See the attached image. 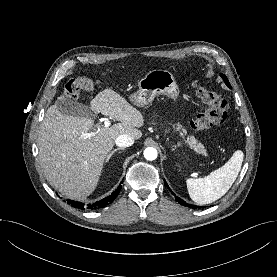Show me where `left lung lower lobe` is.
Masks as SVG:
<instances>
[{"mask_svg":"<svg viewBox=\"0 0 277 277\" xmlns=\"http://www.w3.org/2000/svg\"><path fill=\"white\" fill-rule=\"evenodd\" d=\"M165 182V185L168 187L166 181L164 180ZM171 191V190H170ZM175 200L181 204V205H184V206H187V207H190V208H193V209H196V208H200L199 206H195V205H191V204H187L185 203V201H183L182 199H180L179 197L175 196Z\"/></svg>","mask_w":277,"mask_h":277,"instance_id":"obj_1","label":"left lung lower lobe"}]
</instances>
